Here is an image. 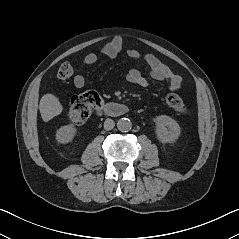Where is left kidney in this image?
Listing matches in <instances>:
<instances>
[{
  "instance_id": "left-kidney-1",
  "label": "left kidney",
  "mask_w": 239,
  "mask_h": 239,
  "mask_svg": "<svg viewBox=\"0 0 239 239\" xmlns=\"http://www.w3.org/2000/svg\"><path fill=\"white\" fill-rule=\"evenodd\" d=\"M156 136L161 143H175L181 133L179 124L169 116H156Z\"/></svg>"
}]
</instances>
